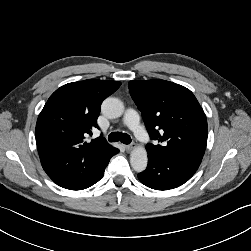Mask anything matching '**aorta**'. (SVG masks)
Wrapping results in <instances>:
<instances>
[{
  "label": "aorta",
  "mask_w": 251,
  "mask_h": 251,
  "mask_svg": "<svg viewBox=\"0 0 251 251\" xmlns=\"http://www.w3.org/2000/svg\"><path fill=\"white\" fill-rule=\"evenodd\" d=\"M102 113L108 118H118L124 112V105L121 100L115 97L106 98L101 105ZM148 163L147 151L144 147L134 148L130 155V164L136 172L146 169Z\"/></svg>",
  "instance_id": "762f6f07"
}]
</instances>
